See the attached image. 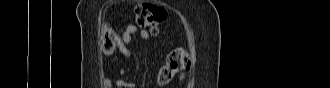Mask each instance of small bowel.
<instances>
[{
	"mask_svg": "<svg viewBox=\"0 0 330 88\" xmlns=\"http://www.w3.org/2000/svg\"><path fill=\"white\" fill-rule=\"evenodd\" d=\"M136 33H138L139 37L143 40H147L150 37V34L147 30H145V29L138 30V27L134 24L127 25L125 27L122 35L118 39V42H117V45H116L118 51L122 55H124L126 57L131 56V51L128 48V44H130L133 41V38H134ZM112 84L113 83L111 81H109V85H112ZM114 87L115 88H134L135 84L132 83V82H128L126 80H123V79H118L114 83Z\"/></svg>",
	"mask_w": 330,
	"mask_h": 88,
	"instance_id": "small-bowel-1",
	"label": "small bowel"
}]
</instances>
